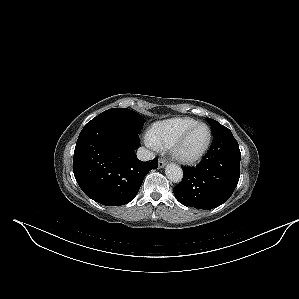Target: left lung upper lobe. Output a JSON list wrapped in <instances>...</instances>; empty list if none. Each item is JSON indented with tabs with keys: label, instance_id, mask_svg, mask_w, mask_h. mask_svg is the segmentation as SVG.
<instances>
[{
	"label": "left lung upper lobe",
	"instance_id": "1",
	"mask_svg": "<svg viewBox=\"0 0 299 299\" xmlns=\"http://www.w3.org/2000/svg\"><path fill=\"white\" fill-rule=\"evenodd\" d=\"M206 120L208 121V123L211 125V129L213 134L226 128L225 126L221 125L220 123H218L217 121L211 119V118H206Z\"/></svg>",
	"mask_w": 299,
	"mask_h": 299
}]
</instances>
